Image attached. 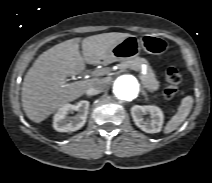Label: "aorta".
<instances>
[{
  "label": "aorta",
  "instance_id": "aorta-1",
  "mask_svg": "<svg viewBox=\"0 0 212 183\" xmlns=\"http://www.w3.org/2000/svg\"><path fill=\"white\" fill-rule=\"evenodd\" d=\"M139 92L140 83L133 75H122L114 81L113 93L120 101H131L138 96Z\"/></svg>",
  "mask_w": 212,
  "mask_h": 183
}]
</instances>
